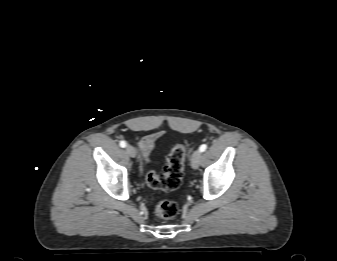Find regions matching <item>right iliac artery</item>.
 <instances>
[{
  "label": "right iliac artery",
  "instance_id": "right-iliac-artery-1",
  "mask_svg": "<svg viewBox=\"0 0 337 261\" xmlns=\"http://www.w3.org/2000/svg\"><path fill=\"white\" fill-rule=\"evenodd\" d=\"M126 145H127V144H126L125 141H121V142H120V146H121L122 148L126 147Z\"/></svg>",
  "mask_w": 337,
  "mask_h": 261
}]
</instances>
